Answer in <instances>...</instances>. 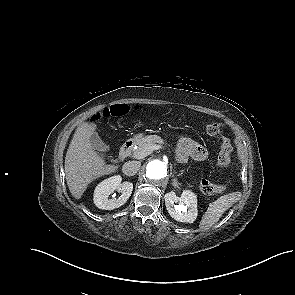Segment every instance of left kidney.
I'll return each mask as SVG.
<instances>
[{"instance_id": "left-kidney-1", "label": "left kidney", "mask_w": 295, "mask_h": 295, "mask_svg": "<svg viewBox=\"0 0 295 295\" xmlns=\"http://www.w3.org/2000/svg\"><path fill=\"white\" fill-rule=\"evenodd\" d=\"M165 205L169 215L176 221L193 223L198 215L197 196L184 190L181 197L174 192L165 194ZM179 203L178 205H176Z\"/></svg>"}]
</instances>
